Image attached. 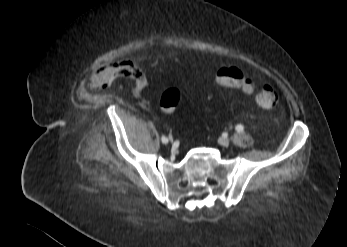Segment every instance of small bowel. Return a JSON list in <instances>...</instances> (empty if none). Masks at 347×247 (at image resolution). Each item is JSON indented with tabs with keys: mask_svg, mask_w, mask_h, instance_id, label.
I'll use <instances>...</instances> for the list:
<instances>
[{
	"mask_svg": "<svg viewBox=\"0 0 347 247\" xmlns=\"http://www.w3.org/2000/svg\"><path fill=\"white\" fill-rule=\"evenodd\" d=\"M120 76L128 77L133 81L131 89L135 95L140 94L146 86V77L139 65L134 61H124L100 68L92 74L90 85L94 88H100Z\"/></svg>",
	"mask_w": 347,
	"mask_h": 247,
	"instance_id": "obj_1",
	"label": "small bowel"
}]
</instances>
